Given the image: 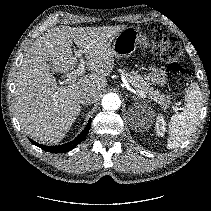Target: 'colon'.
Here are the masks:
<instances>
[{
  "label": "colon",
  "instance_id": "5ec220e1",
  "mask_svg": "<svg viewBox=\"0 0 211 211\" xmlns=\"http://www.w3.org/2000/svg\"><path fill=\"white\" fill-rule=\"evenodd\" d=\"M152 42L154 50L167 64L166 78L170 90L175 94H180L190 80V73L180 65L183 60L180 43L177 39L159 30L153 32Z\"/></svg>",
  "mask_w": 211,
  "mask_h": 211
}]
</instances>
